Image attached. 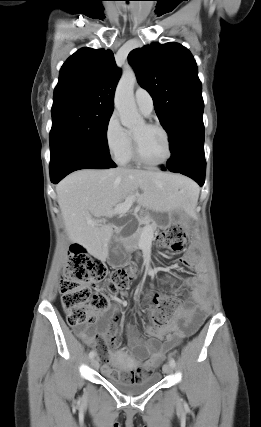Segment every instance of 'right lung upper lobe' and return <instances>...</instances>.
I'll return each mask as SVG.
<instances>
[{
  "label": "right lung upper lobe",
  "instance_id": "right-lung-upper-lobe-1",
  "mask_svg": "<svg viewBox=\"0 0 261 427\" xmlns=\"http://www.w3.org/2000/svg\"><path fill=\"white\" fill-rule=\"evenodd\" d=\"M120 74L111 51L81 48L61 67L52 109L90 106L113 110Z\"/></svg>",
  "mask_w": 261,
  "mask_h": 427
}]
</instances>
